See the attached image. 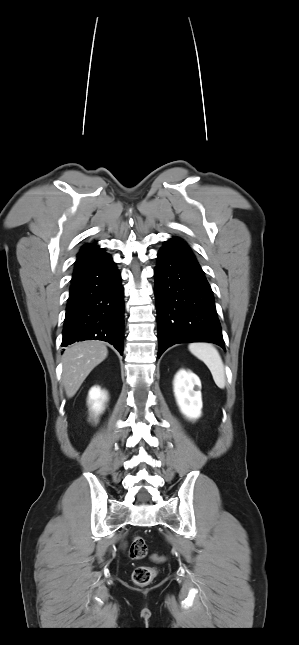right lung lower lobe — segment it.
Segmentation results:
<instances>
[{
	"mask_svg": "<svg viewBox=\"0 0 299 645\" xmlns=\"http://www.w3.org/2000/svg\"><path fill=\"white\" fill-rule=\"evenodd\" d=\"M124 289L110 255L74 271L63 326L62 346L101 340L123 354Z\"/></svg>",
	"mask_w": 299,
	"mask_h": 645,
	"instance_id": "obj_1",
	"label": "right lung lower lobe"
}]
</instances>
